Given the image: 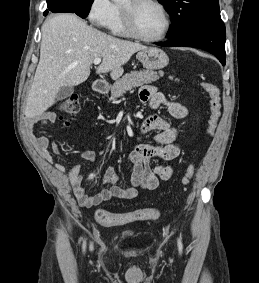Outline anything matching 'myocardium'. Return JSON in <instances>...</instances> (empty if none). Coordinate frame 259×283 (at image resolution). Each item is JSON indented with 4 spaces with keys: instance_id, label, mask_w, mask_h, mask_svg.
I'll use <instances>...</instances> for the list:
<instances>
[{
    "instance_id": "obj_1",
    "label": "myocardium",
    "mask_w": 259,
    "mask_h": 283,
    "mask_svg": "<svg viewBox=\"0 0 259 283\" xmlns=\"http://www.w3.org/2000/svg\"><path fill=\"white\" fill-rule=\"evenodd\" d=\"M144 2H148V3H152L156 5L157 7L161 9V11L164 14V17L166 20V27L160 36H157V37L145 36L142 33H140L137 28L136 21H135V15H134L135 8L139 4L144 3ZM120 8H121L124 27L126 31L128 32V34L131 35L132 37H135L139 40L146 41V42H157V41H161L164 38H166V36L170 32V29L172 26V19H171L168 9L160 0H127V4L125 5L121 4Z\"/></svg>"
}]
</instances>
